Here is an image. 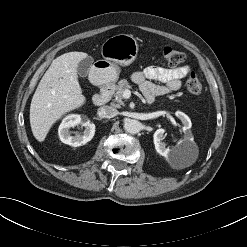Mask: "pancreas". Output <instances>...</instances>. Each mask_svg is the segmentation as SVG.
<instances>
[{"mask_svg": "<svg viewBox=\"0 0 247 247\" xmlns=\"http://www.w3.org/2000/svg\"><path fill=\"white\" fill-rule=\"evenodd\" d=\"M131 88V85H129L128 81L126 79H122L118 82L117 85H115L114 87V100L115 102H117V106H120V105H124V101H123V91L126 90V89H130Z\"/></svg>", "mask_w": 247, "mask_h": 247, "instance_id": "1", "label": "pancreas"}]
</instances>
